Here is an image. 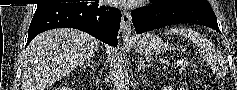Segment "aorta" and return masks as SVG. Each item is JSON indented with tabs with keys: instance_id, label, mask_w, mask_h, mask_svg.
I'll return each instance as SVG.
<instances>
[{
	"instance_id": "aorta-1",
	"label": "aorta",
	"mask_w": 237,
	"mask_h": 90,
	"mask_svg": "<svg viewBox=\"0 0 237 90\" xmlns=\"http://www.w3.org/2000/svg\"><path fill=\"white\" fill-rule=\"evenodd\" d=\"M124 66L122 62L117 60L116 64H114L113 70V86L114 90H129V76L128 72L123 70Z\"/></svg>"
}]
</instances>
